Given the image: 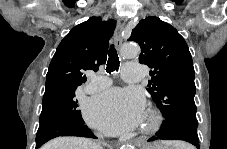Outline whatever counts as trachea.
<instances>
[{
  "instance_id": "1",
  "label": "trachea",
  "mask_w": 227,
  "mask_h": 149,
  "mask_svg": "<svg viewBox=\"0 0 227 149\" xmlns=\"http://www.w3.org/2000/svg\"><path fill=\"white\" fill-rule=\"evenodd\" d=\"M119 64H120V61H119L117 51L114 45H111L109 49V58H108L107 67H106L107 73L110 74L113 71H118Z\"/></svg>"
}]
</instances>
